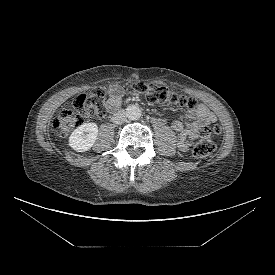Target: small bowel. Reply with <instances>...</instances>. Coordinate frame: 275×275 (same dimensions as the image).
Wrapping results in <instances>:
<instances>
[{
    "mask_svg": "<svg viewBox=\"0 0 275 275\" xmlns=\"http://www.w3.org/2000/svg\"><path fill=\"white\" fill-rule=\"evenodd\" d=\"M121 94L118 89H112L108 100L110 110L117 109L121 104ZM216 116L205 105L197 104L193 109L188 110L187 120H175L172 123L173 129L179 134L181 148H186L189 140L195 139L202 126L215 122Z\"/></svg>",
    "mask_w": 275,
    "mask_h": 275,
    "instance_id": "c3829d8e",
    "label": "small bowel"
}]
</instances>
